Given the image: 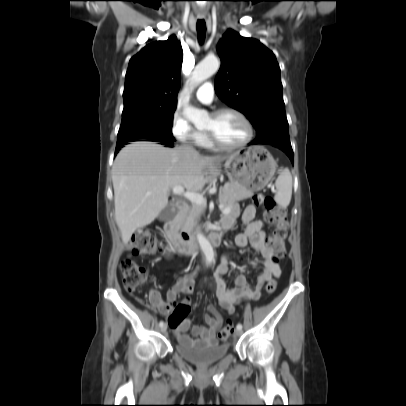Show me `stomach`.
<instances>
[{
  "label": "stomach",
  "instance_id": "stomach-1",
  "mask_svg": "<svg viewBox=\"0 0 406 406\" xmlns=\"http://www.w3.org/2000/svg\"><path fill=\"white\" fill-rule=\"evenodd\" d=\"M277 163L263 146H251L235 152L224 163V170L231 183L246 190H262L273 178Z\"/></svg>",
  "mask_w": 406,
  "mask_h": 406
}]
</instances>
